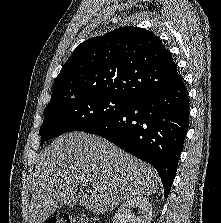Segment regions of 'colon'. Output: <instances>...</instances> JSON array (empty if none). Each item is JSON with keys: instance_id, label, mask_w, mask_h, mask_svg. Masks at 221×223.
I'll return each mask as SVG.
<instances>
[{"instance_id": "colon-1", "label": "colon", "mask_w": 221, "mask_h": 223, "mask_svg": "<svg viewBox=\"0 0 221 223\" xmlns=\"http://www.w3.org/2000/svg\"><path fill=\"white\" fill-rule=\"evenodd\" d=\"M44 223H100L98 219L89 218L85 216H62V217H53L45 220Z\"/></svg>"}]
</instances>
